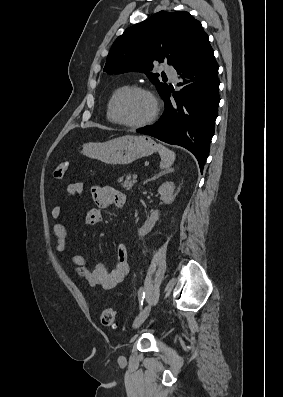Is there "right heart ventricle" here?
<instances>
[{
    "mask_svg": "<svg viewBox=\"0 0 283 397\" xmlns=\"http://www.w3.org/2000/svg\"><path fill=\"white\" fill-rule=\"evenodd\" d=\"M130 87L128 83H122L114 87L109 95L108 101H107V106H106V117L107 119L112 122V123H117L114 113H113V102L116 96L122 92L123 90L127 89Z\"/></svg>",
    "mask_w": 283,
    "mask_h": 397,
    "instance_id": "obj_1",
    "label": "right heart ventricle"
}]
</instances>
